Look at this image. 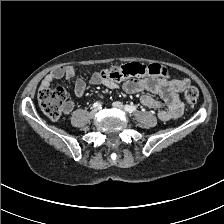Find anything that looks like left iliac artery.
Returning a JSON list of instances; mask_svg holds the SVG:
<instances>
[{"mask_svg":"<svg viewBox=\"0 0 224 224\" xmlns=\"http://www.w3.org/2000/svg\"><path fill=\"white\" fill-rule=\"evenodd\" d=\"M125 110L129 113H132L136 110V107L132 105H125Z\"/></svg>","mask_w":224,"mask_h":224,"instance_id":"1","label":"left iliac artery"}]
</instances>
